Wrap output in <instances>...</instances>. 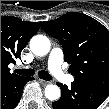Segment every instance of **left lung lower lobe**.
I'll use <instances>...</instances> for the list:
<instances>
[{"instance_id": "obj_1", "label": "left lung lower lobe", "mask_w": 109, "mask_h": 109, "mask_svg": "<svg viewBox=\"0 0 109 109\" xmlns=\"http://www.w3.org/2000/svg\"><path fill=\"white\" fill-rule=\"evenodd\" d=\"M58 85L62 95L52 103L54 109H97L109 95L107 90L79 81H74L70 88Z\"/></svg>"}]
</instances>
